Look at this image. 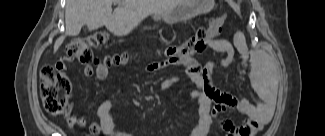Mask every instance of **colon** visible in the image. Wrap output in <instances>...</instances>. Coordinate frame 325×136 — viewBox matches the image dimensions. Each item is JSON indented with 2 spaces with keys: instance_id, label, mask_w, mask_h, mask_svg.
Masks as SVG:
<instances>
[{
  "instance_id": "colon-1",
  "label": "colon",
  "mask_w": 325,
  "mask_h": 136,
  "mask_svg": "<svg viewBox=\"0 0 325 136\" xmlns=\"http://www.w3.org/2000/svg\"><path fill=\"white\" fill-rule=\"evenodd\" d=\"M224 18H214L208 27L200 28L192 37L179 45L170 46L166 55L173 60L189 61L192 57L207 49L209 42L216 37L223 25ZM104 31L92 32L72 40L66 47V57L81 64L101 62L95 58L93 50L108 41ZM132 59L130 54H114L107 56L102 63L106 66H119ZM40 95L45 111L51 115H60L67 108V92L62 88L59 78L51 66H45L40 73Z\"/></svg>"
}]
</instances>
